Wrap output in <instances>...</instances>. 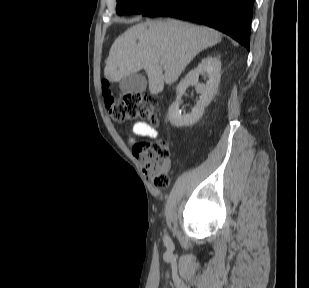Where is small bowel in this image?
<instances>
[{
    "label": "small bowel",
    "instance_id": "small-bowel-1",
    "mask_svg": "<svg viewBox=\"0 0 309 288\" xmlns=\"http://www.w3.org/2000/svg\"><path fill=\"white\" fill-rule=\"evenodd\" d=\"M132 131L136 136L155 138L158 135V132L155 128L145 122H137L132 125ZM130 144L135 143L134 138L129 139Z\"/></svg>",
    "mask_w": 309,
    "mask_h": 288
}]
</instances>
